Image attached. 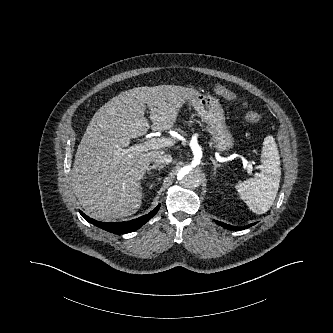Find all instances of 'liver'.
<instances>
[{"label": "liver", "instance_id": "1", "mask_svg": "<svg viewBox=\"0 0 333 333\" xmlns=\"http://www.w3.org/2000/svg\"><path fill=\"white\" fill-rule=\"evenodd\" d=\"M197 93L176 85L136 87L113 97L94 114L71 173L74 194L88 215L110 222L138 211L143 198L140 180L152 157L165 153L125 149L150 127L144 117L146 104L151 129L167 131L173 128L179 109Z\"/></svg>", "mask_w": 333, "mask_h": 333}]
</instances>
